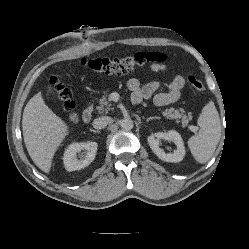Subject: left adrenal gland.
<instances>
[{
    "instance_id": "1",
    "label": "left adrenal gland",
    "mask_w": 249,
    "mask_h": 249,
    "mask_svg": "<svg viewBox=\"0 0 249 249\" xmlns=\"http://www.w3.org/2000/svg\"><path fill=\"white\" fill-rule=\"evenodd\" d=\"M153 119H160V118H159V117H156V116H155V117H149V118H147L146 121L149 122L150 120H153Z\"/></svg>"
}]
</instances>
